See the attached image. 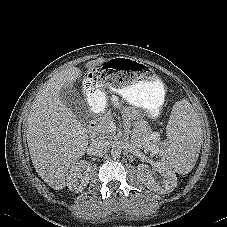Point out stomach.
Here are the masks:
<instances>
[{
  "label": "stomach",
  "instance_id": "obj_1",
  "mask_svg": "<svg viewBox=\"0 0 227 227\" xmlns=\"http://www.w3.org/2000/svg\"><path fill=\"white\" fill-rule=\"evenodd\" d=\"M86 98L94 112L103 111V90L111 88L125 101L149 109L154 116L164 101V85L157 73L132 58H115L99 63L86 76Z\"/></svg>",
  "mask_w": 227,
  "mask_h": 227
}]
</instances>
